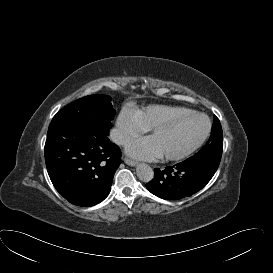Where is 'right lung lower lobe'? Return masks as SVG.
<instances>
[{
    "instance_id": "right-lung-lower-lobe-1",
    "label": "right lung lower lobe",
    "mask_w": 273,
    "mask_h": 273,
    "mask_svg": "<svg viewBox=\"0 0 273 273\" xmlns=\"http://www.w3.org/2000/svg\"><path fill=\"white\" fill-rule=\"evenodd\" d=\"M120 148L105 133L59 121L49 127L45 161L57 191L78 206L104 200L121 163Z\"/></svg>"
}]
</instances>
